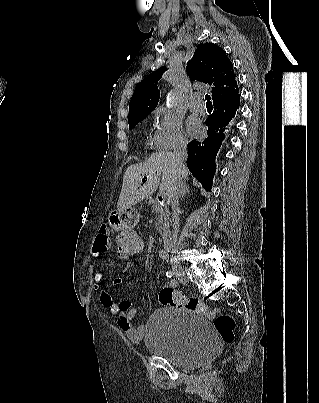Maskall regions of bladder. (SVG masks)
<instances>
[{
    "label": "bladder",
    "instance_id": "obj_1",
    "mask_svg": "<svg viewBox=\"0 0 319 403\" xmlns=\"http://www.w3.org/2000/svg\"><path fill=\"white\" fill-rule=\"evenodd\" d=\"M145 329L147 349L182 368L204 365L220 348L207 318L186 309H157Z\"/></svg>",
    "mask_w": 319,
    "mask_h": 403
}]
</instances>
